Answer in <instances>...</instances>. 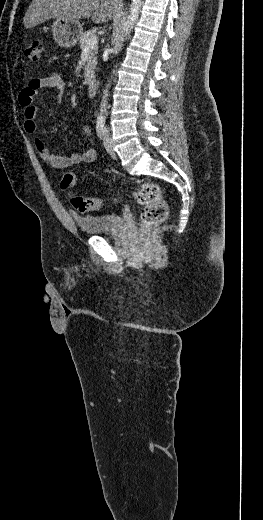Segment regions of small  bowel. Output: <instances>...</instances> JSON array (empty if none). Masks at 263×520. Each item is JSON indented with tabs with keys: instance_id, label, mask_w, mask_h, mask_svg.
Returning <instances> with one entry per match:
<instances>
[{
	"instance_id": "obj_1",
	"label": "small bowel",
	"mask_w": 263,
	"mask_h": 520,
	"mask_svg": "<svg viewBox=\"0 0 263 520\" xmlns=\"http://www.w3.org/2000/svg\"><path fill=\"white\" fill-rule=\"evenodd\" d=\"M42 89H52L58 96H61L65 91V82L59 74L54 73L45 78H35L30 80L21 90L18 99L23 108V127L25 132L28 134L33 135L37 131L35 118L38 109L34 105L33 101L35 95ZM82 132L86 138L89 140L92 139L91 131L88 126H83ZM35 146L40 157L57 169H65L81 163H90L96 158V151L94 148H89L83 153H73L70 156H62L52 153L49 147L40 138H35Z\"/></svg>"
}]
</instances>
